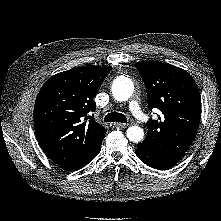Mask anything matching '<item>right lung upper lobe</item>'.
Listing matches in <instances>:
<instances>
[{
  "mask_svg": "<svg viewBox=\"0 0 221 221\" xmlns=\"http://www.w3.org/2000/svg\"><path fill=\"white\" fill-rule=\"evenodd\" d=\"M112 67L84 66L53 75L34 106L35 132L52 160H80L101 147L106 129L95 122L93 100Z\"/></svg>",
  "mask_w": 221,
  "mask_h": 221,
  "instance_id": "1",
  "label": "right lung upper lobe"
}]
</instances>
